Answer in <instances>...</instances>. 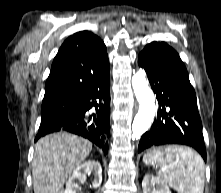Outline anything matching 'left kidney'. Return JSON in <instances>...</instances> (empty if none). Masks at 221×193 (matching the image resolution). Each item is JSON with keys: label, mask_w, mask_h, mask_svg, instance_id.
<instances>
[{"label": "left kidney", "mask_w": 221, "mask_h": 193, "mask_svg": "<svg viewBox=\"0 0 221 193\" xmlns=\"http://www.w3.org/2000/svg\"><path fill=\"white\" fill-rule=\"evenodd\" d=\"M155 185L157 188H155ZM143 193H171L167 183L152 174H146L142 181Z\"/></svg>", "instance_id": "5707ae66"}]
</instances>
